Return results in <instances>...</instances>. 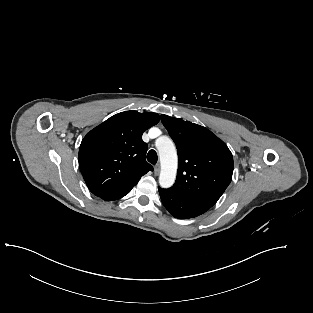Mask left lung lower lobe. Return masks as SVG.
<instances>
[{
    "instance_id": "obj_1",
    "label": "left lung lower lobe",
    "mask_w": 313,
    "mask_h": 313,
    "mask_svg": "<svg viewBox=\"0 0 313 313\" xmlns=\"http://www.w3.org/2000/svg\"><path fill=\"white\" fill-rule=\"evenodd\" d=\"M165 208L176 218L188 219L205 213L209 207L182 199L167 189L158 188Z\"/></svg>"
}]
</instances>
